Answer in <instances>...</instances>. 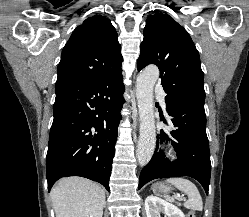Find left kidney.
I'll return each mask as SVG.
<instances>
[{"label":"left kidney","instance_id":"1","mask_svg":"<svg viewBox=\"0 0 249 217\" xmlns=\"http://www.w3.org/2000/svg\"><path fill=\"white\" fill-rule=\"evenodd\" d=\"M145 210L147 217H160V212L168 217H185L179 208L153 195L145 199Z\"/></svg>","mask_w":249,"mask_h":217}]
</instances>
